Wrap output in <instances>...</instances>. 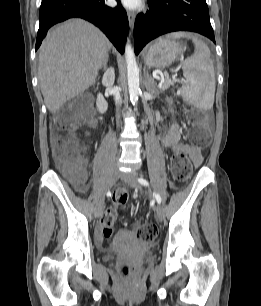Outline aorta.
Wrapping results in <instances>:
<instances>
[{"instance_id":"aorta-1","label":"aorta","mask_w":261,"mask_h":306,"mask_svg":"<svg viewBox=\"0 0 261 306\" xmlns=\"http://www.w3.org/2000/svg\"><path fill=\"white\" fill-rule=\"evenodd\" d=\"M125 57L127 64V80L130 100L133 105L138 102L139 87V68L136 62L133 48L129 42L125 45Z\"/></svg>"}]
</instances>
